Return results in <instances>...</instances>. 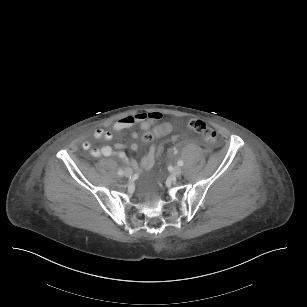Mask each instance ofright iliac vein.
<instances>
[{
	"label": "right iliac vein",
	"mask_w": 307,
	"mask_h": 307,
	"mask_svg": "<svg viewBox=\"0 0 307 307\" xmlns=\"http://www.w3.org/2000/svg\"><path fill=\"white\" fill-rule=\"evenodd\" d=\"M133 175V170L131 169V168H127L126 170H125V176L126 177H131Z\"/></svg>",
	"instance_id": "right-iliac-vein-1"
}]
</instances>
